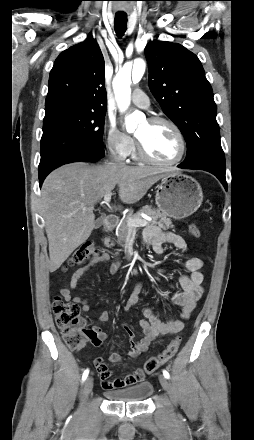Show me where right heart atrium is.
Instances as JSON below:
<instances>
[{
  "mask_svg": "<svg viewBox=\"0 0 254 440\" xmlns=\"http://www.w3.org/2000/svg\"><path fill=\"white\" fill-rule=\"evenodd\" d=\"M105 140L107 148L122 159L129 157L134 152L135 141L133 137L118 128L112 120L106 124Z\"/></svg>",
  "mask_w": 254,
  "mask_h": 440,
  "instance_id": "d8ad5b80",
  "label": "right heart atrium"
}]
</instances>
